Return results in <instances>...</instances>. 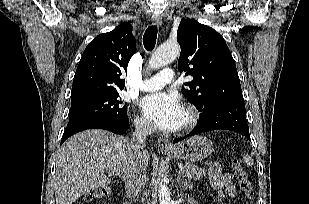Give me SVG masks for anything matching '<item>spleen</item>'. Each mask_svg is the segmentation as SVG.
I'll return each mask as SVG.
<instances>
[{
    "instance_id": "3e777b00",
    "label": "spleen",
    "mask_w": 309,
    "mask_h": 204,
    "mask_svg": "<svg viewBox=\"0 0 309 204\" xmlns=\"http://www.w3.org/2000/svg\"><path fill=\"white\" fill-rule=\"evenodd\" d=\"M244 163L248 166L251 167L254 165V161L252 159V157H250L248 154L244 155Z\"/></svg>"
}]
</instances>
